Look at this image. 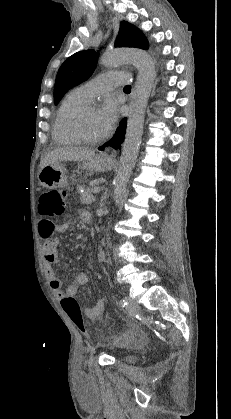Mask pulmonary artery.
Masks as SVG:
<instances>
[{"label": "pulmonary artery", "mask_w": 231, "mask_h": 419, "mask_svg": "<svg viewBox=\"0 0 231 419\" xmlns=\"http://www.w3.org/2000/svg\"><path fill=\"white\" fill-rule=\"evenodd\" d=\"M128 76L123 72H106L80 85L78 90L88 99L108 93L116 86L127 83Z\"/></svg>", "instance_id": "pulmonary-artery-1"}]
</instances>
